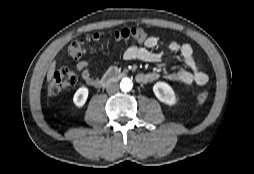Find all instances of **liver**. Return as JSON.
Here are the masks:
<instances>
[{"instance_id": "obj_1", "label": "liver", "mask_w": 254, "mask_h": 174, "mask_svg": "<svg viewBox=\"0 0 254 174\" xmlns=\"http://www.w3.org/2000/svg\"><path fill=\"white\" fill-rule=\"evenodd\" d=\"M55 68H56V62L54 61L51 65H50V68L48 70V73H47V81L50 82L53 78V74L55 72Z\"/></svg>"}]
</instances>
